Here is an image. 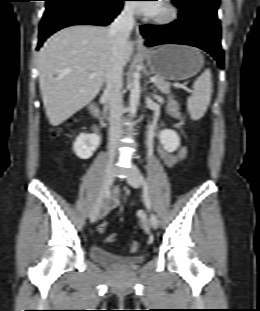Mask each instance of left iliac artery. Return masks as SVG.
<instances>
[{"label": "left iliac artery", "mask_w": 260, "mask_h": 311, "mask_svg": "<svg viewBox=\"0 0 260 311\" xmlns=\"http://www.w3.org/2000/svg\"><path fill=\"white\" fill-rule=\"evenodd\" d=\"M138 173H139L140 181H141L142 186H143V193H144L146 205H147L148 209H151V202H150L149 192H148V184H147L146 180L144 179L140 170H138Z\"/></svg>", "instance_id": "left-iliac-artery-1"}]
</instances>
